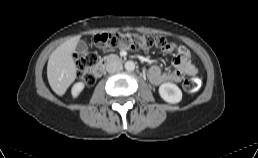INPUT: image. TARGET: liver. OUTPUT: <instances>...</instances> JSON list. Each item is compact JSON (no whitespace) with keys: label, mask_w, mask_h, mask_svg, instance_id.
I'll use <instances>...</instances> for the list:
<instances>
[{"label":"liver","mask_w":258,"mask_h":158,"mask_svg":"<svg viewBox=\"0 0 258 158\" xmlns=\"http://www.w3.org/2000/svg\"><path fill=\"white\" fill-rule=\"evenodd\" d=\"M81 36H75L58 46L50 55L47 78L52 90L62 96L76 78L77 67L73 53Z\"/></svg>","instance_id":"obj_1"}]
</instances>
